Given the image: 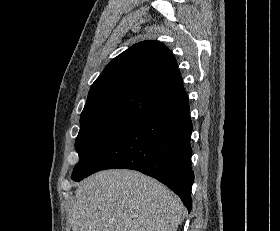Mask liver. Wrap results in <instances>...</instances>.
Here are the masks:
<instances>
[{"label":"liver","instance_id":"liver-1","mask_svg":"<svg viewBox=\"0 0 280 231\" xmlns=\"http://www.w3.org/2000/svg\"><path fill=\"white\" fill-rule=\"evenodd\" d=\"M178 195L134 169H105L80 181L69 209L73 231H176Z\"/></svg>","mask_w":280,"mask_h":231}]
</instances>
